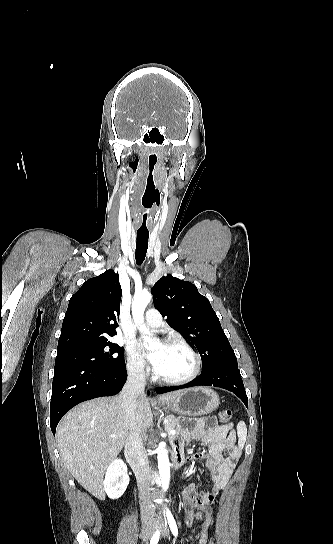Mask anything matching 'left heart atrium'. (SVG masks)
I'll list each match as a JSON object with an SVG mask.
<instances>
[{"label": "left heart atrium", "instance_id": "39dd6f15", "mask_svg": "<svg viewBox=\"0 0 333 544\" xmlns=\"http://www.w3.org/2000/svg\"><path fill=\"white\" fill-rule=\"evenodd\" d=\"M138 349L141 352V354L148 360V362L156 369L161 361L162 353H163V345L159 346L157 349L147 352L144 349L143 344L140 342L138 343Z\"/></svg>", "mask_w": 333, "mask_h": 544}]
</instances>
